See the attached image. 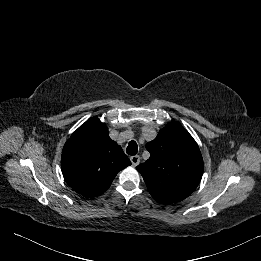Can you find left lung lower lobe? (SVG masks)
<instances>
[{"label":"left lung lower lobe","mask_w":261,"mask_h":261,"mask_svg":"<svg viewBox=\"0 0 261 261\" xmlns=\"http://www.w3.org/2000/svg\"><path fill=\"white\" fill-rule=\"evenodd\" d=\"M152 197L161 204H170L182 201L183 198L177 196H169V195H152Z\"/></svg>","instance_id":"obj_1"}]
</instances>
